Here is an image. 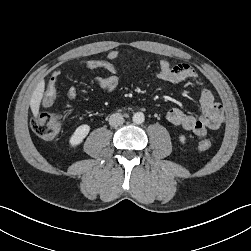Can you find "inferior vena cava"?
<instances>
[{"instance_id":"obj_1","label":"inferior vena cava","mask_w":251,"mask_h":251,"mask_svg":"<svg viewBox=\"0 0 251 251\" xmlns=\"http://www.w3.org/2000/svg\"><path fill=\"white\" fill-rule=\"evenodd\" d=\"M124 118L120 113H114L109 117V124L112 127H117L123 124Z\"/></svg>"}]
</instances>
